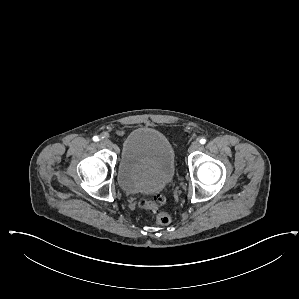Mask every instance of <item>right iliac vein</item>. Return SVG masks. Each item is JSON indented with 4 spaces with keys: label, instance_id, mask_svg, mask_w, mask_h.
<instances>
[{
    "label": "right iliac vein",
    "instance_id": "63e3f726",
    "mask_svg": "<svg viewBox=\"0 0 299 299\" xmlns=\"http://www.w3.org/2000/svg\"><path fill=\"white\" fill-rule=\"evenodd\" d=\"M100 144L103 145L104 147H108V148L112 147V142L108 138H105V137H102L100 139Z\"/></svg>",
    "mask_w": 299,
    "mask_h": 299
}]
</instances>
